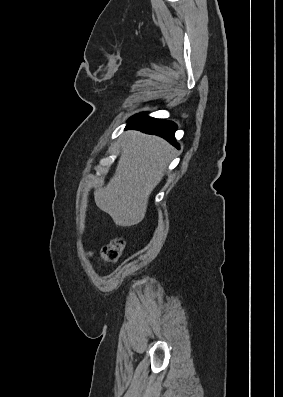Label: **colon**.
Segmentation results:
<instances>
[{"label": "colon", "mask_w": 283, "mask_h": 397, "mask_svg": "<svg viewBox=\"0 0 283 397\" xmlns=\"http://www.w3.org/2000/svg\"><path fill=\"white\" fill-rule=\"evenodd\" d=\"M125 248V241L122 238H115L100 250L97 259L100 262L110 263L117 261Z\"/></svg>", "instance_id": "obj_1"}]
</instances>
